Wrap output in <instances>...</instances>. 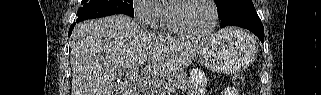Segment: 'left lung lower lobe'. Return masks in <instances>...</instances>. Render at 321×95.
<instances>
[{
  "label": "left lung lower lobe",
  "instance_id": "0a47b994",
  "mask_svg": "<svg viewBox=\"0 0 321 95\" xmlns=\"http://www.w3.org/2000/svg\"><path fill=\"white\" fill-rule=\"evenodd\" d=\"M219 19L221 20V27L239 26L246 28L253 32L262 43L264 42V28L251 0L234 5Z\"/></svg>",
  "mask_w": 321,
  "mask_h": 95
}]
</instances>
